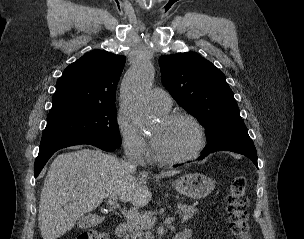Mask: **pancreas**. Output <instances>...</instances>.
Wrapping results in <instances>:
<instances>
[{
	"label": "pancreas",
	"instance_id": "1",
	"mask_svg": "<svg viewBox=\"0 0 304 239\" xmlns=\"http://www.w3.org/2000/svg\"><path fill=\"white\" fill-rule=\"evenodd\" d=\"M177 207L182 222H186L193 218L194 214L198 211L194 205L179 203ZM137 216L138 218L135 220L127 222V229L131 239H153L151 233L152 226L148 224L149 221L153 220L152 213L145 212Z\"/></svg>",
	"mask_w": 304,
	"mask_h": 239
}]
</instances>
